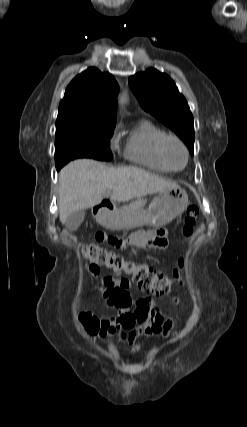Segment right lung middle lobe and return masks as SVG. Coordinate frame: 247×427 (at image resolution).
Here are the masks:
<instances>
[{
    "instance_id": "1",
    "label": "right lung middle lobe",
    "mask_w": 247,
    "mask_h": 427,
    "mask_svg": "<svg viewBox=\"0 0 247 427\" xmlns=\"http://www.w3.org/2000/svg\"><path fill=\"white\" fill-rule=\"evenodd\" d=\"M116 123L94 122L75 114L58 115L55 162L59 167L75 158L109 161L113 158L110 138Z\"/></svg>"
}]
</instances>
